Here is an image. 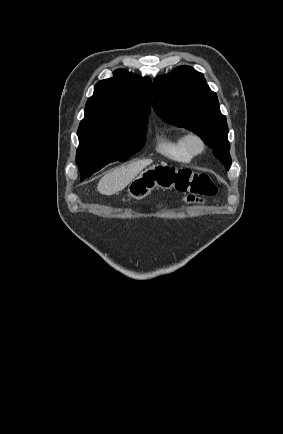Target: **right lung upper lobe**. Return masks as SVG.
I'll return each instance as SVG.
<instances>
[{
	"instance_id": "1",
	"label": "right lung upper lobe",
	"mask_w": 283,
	"mask_h": 434,
	"mask_svg": "<svg viewBox=\"0 0 283 434\" xmlns=\"http://www.w3.org/2000/svg\"><path fill=\"white\" fill-rule=\"evenodd\" d=\"M152 104V83L126 70L99 81L85 106L80 127L124 126L148 121Z\"/></svg>"
}]
</instances>
